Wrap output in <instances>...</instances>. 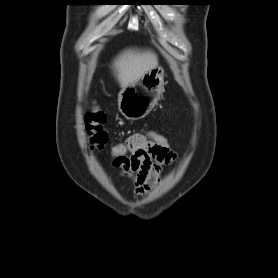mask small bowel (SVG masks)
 I'll return each instance as SVG.
<instances>
[{"mask_svg":"<svg viewBox=\"0 0 278 278\" xmlns=\"http://www.w3.org/2000/svg\"><path fill=\"white\" fill-rule=\"evenodd\" d=\"M126 147L127 154L113 158L112 165L133 182L135 195H146L159 181L163 167L173 162L176 154L164 150L140 133L129 136Z\"/></svg>","mask_w":278,"mask_h":278,"instance_id":"small-bowel-1","label":"small bowel"}]
</instances>
